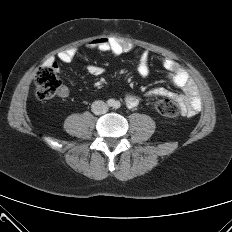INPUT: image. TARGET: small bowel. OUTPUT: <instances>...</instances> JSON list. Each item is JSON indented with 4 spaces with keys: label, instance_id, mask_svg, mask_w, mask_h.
Segmentation results:
<instances>
[{
    "label": "small bowel",
    "instance_id": "1",
    "mask_svg": "<svg viewBox=\"0 0 232 232\" xmlns=\"http://www.w3.org/2000/svg\"><path fill=\"white\" fill-rule=\"evenodd\" d=\"M88 48L98 50L101 53L107 54H122L134 50V46L117 37H99L92 40L88 44ZM76 57L75 49H66L58 54L60 63H70ZM53 67L59 71L60 64L51 61ZM162 67L167 73L168 80L175 87L180 88L183 94L175 93L164 87H154L148 92L149 97H163L175 100L182 108L183 114L186 116H194L201 109V98L198 94V89L189 73L176 61L171 58L164 57L162 59ZM88 73L99 76L104 73V69L96 64H88L86 66ZM150 53L147 49H142L140 52V60L137 66V73L140 77L146 78L150 75ZM68 95L67 87H62L60 97ZM140 102V98L134 94H128L125 97V104L128 108L136 107Z\"/></svg>",
    "mask_w": 232,
    "mask_h": 232
}]
</instances>
